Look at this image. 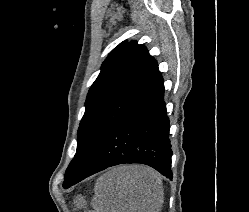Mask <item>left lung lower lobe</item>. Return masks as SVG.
Segmentation results:
<instances>
[{
  "label": "left lung lower lobe",
  "mask_w": 249,
  "mask_h": 212,
  "mask_svg": "<svg viewBox=\"0 0 249 212\" xmlns=\"http://www.w3.org/2000/svg\"><path fill=\"white\" fill-rule=\"evenodd\" d=\"M169 119L160 72L116 121L94 158L81 176L67 189L108 167L141 163L172 179Z\"/></svg>",
  "instance_id": "1"
}]
</instances>
